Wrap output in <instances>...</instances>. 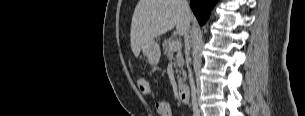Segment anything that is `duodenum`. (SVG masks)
I'll list each match as a JSON object with an SVG mask.
<instances>
[{
	"label": "duodenum",
	"instance_id": "obj_1",
	"mask_svg": "<svg viewBox=\"0 0 305 116\" xmlns=\"http://www.w3.org/2000/svg\"><path fill=\"white\" fill-rule=\"evenodd\" d=\"M178 97L179 100L183 103V104H188L190 101V97H189V88L186 85H181L179 87L178 90Z\"/></svg>",
	"mask_w": 305,
	"mask_h": 116
}]
</instances>
